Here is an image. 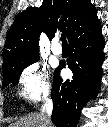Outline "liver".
I'll list each match as a JSON object with an SVG mask.
<instances>
[{
    "instance_id": "1",
    "label": "liver",
    "mask_w": 108,
    "mask_h": 127,
    "mask_svg": "<svg viewBox=\"0 0 108 127\" xmlns=\"http://www.w3.org/2000/svg\"><path fill=\"white\" fill-rule=\"evenodd\" d=\"M9 127H47L44 117L41 113H31L20 118L18 121L9 125ZM53 127V124H51Z\"/></svg>"
}]
</instances>
